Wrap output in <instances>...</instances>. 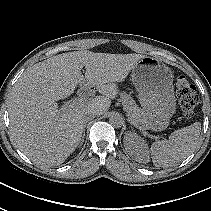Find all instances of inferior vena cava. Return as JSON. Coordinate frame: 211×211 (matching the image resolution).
<instances>
[{"instance_id":"inferior-vena-cava-1","label":"inferior vena cava","mask_w":211,"mask_h":211,"mask_svg":"<svg viewBox=\"0 0 211 211\" xmlns=\"http://www.w3.org/2000/svg\"><path fill=\"white\" fill-rule=\"evenodd\" d=\"M81 116H82V119L84 122H88L89 120L95 118L96 113H94L92 111H87V112L82 113Z\"/></svg>"}]
</instances>
